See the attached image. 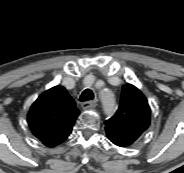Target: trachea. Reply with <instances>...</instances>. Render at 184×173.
<instances>
[{
    "mask_svg": "<svg viewBox=\"0 0 184 173\" xmlns=\"http://www.w3.org/2000/svg\"><path fill=\"white\" fill-rule=\"evenodd\" d=\"M94 98V94L92 92V90L90 89H86L82 92L79 100L81 102H84V101H89V100H92Z\"/></svg>",
    "mask_w": 184,
    "mask_h": 173,
    "instance_id": "obj_1",
    "label": "trachea"
}]
</instances>
